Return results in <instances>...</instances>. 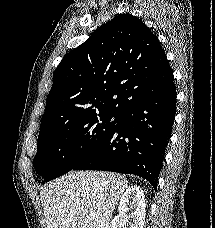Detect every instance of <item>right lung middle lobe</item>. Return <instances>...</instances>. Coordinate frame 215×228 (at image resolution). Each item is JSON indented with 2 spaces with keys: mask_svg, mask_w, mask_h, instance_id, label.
I'll list each match as a JSON object with an SVG mask.
<instances>
[{
  "mask_svg": "<svg viewBox=\"0 0 215 228\" xmlns=\"http://www.w3.org/2000/svg\"><path fill=\"white\" fill-rule=\"evenodd\" d=\"M116 122L117 114L105 112L40 129L33 161L36 173L50 181L69 172L111 133Z\"/></svg>",
  "mask_w": 215,
  "mask_h": 228,
  "instance_id": "obj_1",
  "label": "right lung middle lobe"
}]
</instances>
